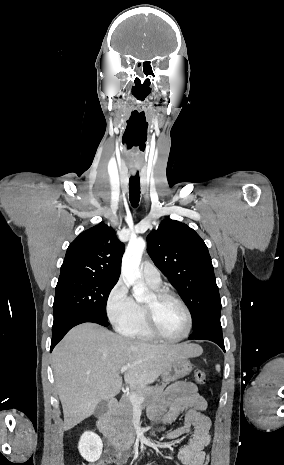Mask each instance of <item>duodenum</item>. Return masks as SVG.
<instances>
[{
    "mask_svg": "<svg viewBox=\"0 0 284 465\" xmlns=\"http://www.w3.org/2000/svg\"><path fill=\"white\" fill-rule=\"evenodd\" d=\"M117 407L118 402L115 399L110 400L99 414L96 420V427L114 448L128 449L134 443L137 436L134 432L120 433L114 428L111 423V417Z\"/></svg>",
    "mask_w": 284,
    "mask_h": 465,
    "instance_id": "410a0bca",
    "label": "duodenum"
}]
</instances>
